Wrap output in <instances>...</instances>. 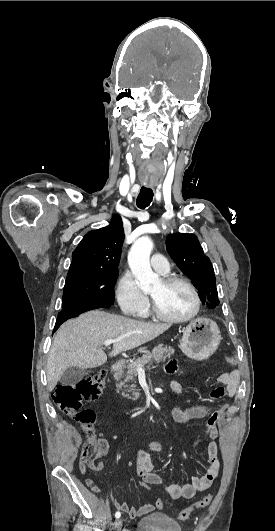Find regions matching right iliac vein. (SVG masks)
Returning <instances> with one entry per match:
<instances>
[{
    "label": "right iliac vein",
    "mask_w": 275,
    "mask_h": 531,
    "mask_svg": "<svg viewBox=\"0 0 275 531\" xmlns=\"http://www.w3.org/2000/svg\"><path fill=\"white\" fill-rule=\"evenodd\" d=\"M121 528H122V520H121V519H118V520H116V522H115V530H116V531H120Z\"/></svg>",
    "instance_id": "1"
}]
</instances>
